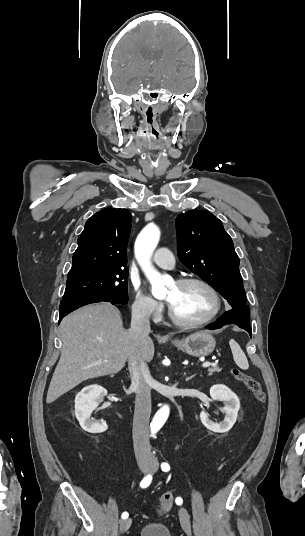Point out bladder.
<instances>
[{
	"label": "bladder",
	"instance_id": "obj_1",
	"mask_svg": "<svg viewBox=\"0 0 305 536\" xmlns=\"http://www.w3.org/2000/svg\"><path fill=\"white\" fill-rule=\"evenodd\" d=\"M137 536H172L168 526L162 522L148 521L140 527Z\"/></svg>",
	"mask_w": 305,
	"mask_h": 536
}]
</instances>
